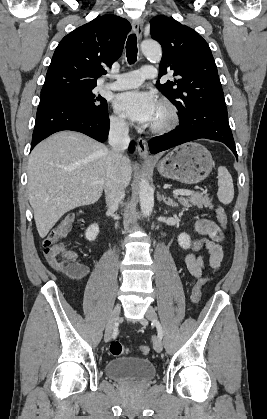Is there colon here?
Instances as JSON below:
<instances>
[{
    "mask_svg": "<svg viewBox=\"0 0 267 419\" xmlns=\"http://www.w3.org/2000/svg\"><path fill=\"white\" fill-rule=\"evenodd\" d=\"M216 217L219 225L226 228L228 218L225 210L219 207L216 210ZM74 223V215L68 214L64 216L55 227L48 233L43 243V252L49 264L59 272L70 276H78L83 267L77 261L76 254L69 250L63 242V239L70 232ZM206 282V278H202L195 283L192 289V300L198 303L202 296V287ZM139 351L143 355H147L150 351L147 345L139 347ZM109 352L113 356H121L125 352L123 344L114 340L109 345Z\"/></svg>",
    "mask_w": 267,
    "mask_h": 419,
    "instance_id": "1",
    "label": "colon"
}]
</instances>
